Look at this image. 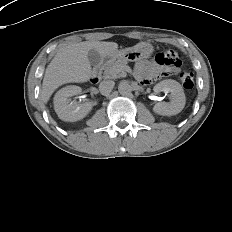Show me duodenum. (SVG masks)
Instances as JSON below:
<instances>
[{
    "mask_svg": "<svg viewBox=\"0 0 232 232\" xmlns=\"http://www.w3.org/2000/svg\"><path fill=\"white\" fill-rule=\"evenodd\" d=\"M100 79V71H99V67L98 66H95L93 69H92V73H91V77H90V81L92 83H97Z\"/></svg>",
    "mask_w": 232,
    "mask_h": 232,
    "instance_id": "obj_1",
    "label": "duodenum"
}]
</instances>
